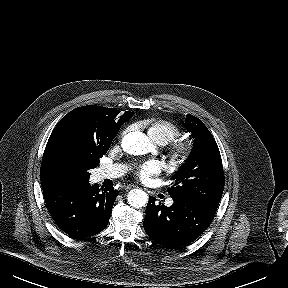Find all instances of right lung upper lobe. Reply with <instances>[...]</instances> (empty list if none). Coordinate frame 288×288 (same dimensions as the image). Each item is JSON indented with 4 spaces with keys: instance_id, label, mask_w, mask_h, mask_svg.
<instances>
[{
    "instance_id": "cb5924a9",
    "label": "right lung upper lobe",
    "mask_w": 288,
    "mask_h": 288,
    "mask_svg": "<svg viewBox=\"0 0 288 288\" xmlns=\"http://www.w3.org/2000/svg\"><path fill=\"white\" fill-rule=\"evenodd\" d=\"M119 113V110L95 105L78 107L65 115L56 125L46 148L67 132L76 134L81 145H92L97 140L104 138L109 128H114L118 132L122 124L134 115L129 111L123 115ZM41 186L43 190H47L63 186V184L47 182L41 178Z\"/></svg>"
}]
</instances>
